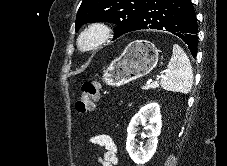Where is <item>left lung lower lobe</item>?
<instances>
[{"mask_svg": "<svg viewBox=\"0 0 227 166\" xmlns=\"http://www.w3.org/2000/svg\"><path fill=\"white\" fill-rule=\"evenodd\" d=\"M157 29L181 38L197 53V21L191 0H147L135 30Z\"/></svg>", "mask_w": 227, "mask_h": 166, "instance_id": "0a47b994", "label": "left lung lower lobe"}]
</instances>
